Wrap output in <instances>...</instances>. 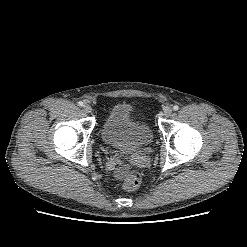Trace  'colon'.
<instances>
[{
	"mask_svg": "<svg viewBox=\"0 0 247 247\" xmlns=\"http://www.w3.org/2000/svg\"><path fill=\"white\" fill-rule=\"evenodd\" d=\"M141 175L133 170L128 172L123 179V188L129 191L137 189L141 185Z\"/></svg>",
	"mask_w": 247,
	"mask_h": 247,
	"instance_id": "colon-1",
	"label": "colon"
}]
</instances>
